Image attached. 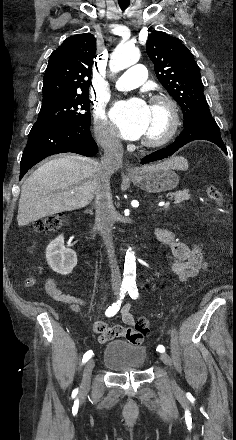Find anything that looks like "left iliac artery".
Returning a JSON list of instances; mask_svg holds the SVG:
<instances>
[{
    "label": "left iliac artery",
    "instance_id": "left-iliac-artery-1",
    "mask_svg": "<svg viewBox=\"0 0 236 440\" xmlns=\"http://www.w3.org/2000/svg\"><path fill=\"white\" fill-rule=\"evenodd\" d=\"M128 293L132 299H137L139 293L136 285H130L128 289ZM157 351L163 353L165 352V347L163 345H159L157 347Z\"/></svg>",
    "mask_w": 236,
    "mask_h": 440
}]
</instances>
